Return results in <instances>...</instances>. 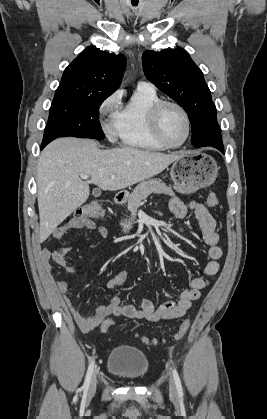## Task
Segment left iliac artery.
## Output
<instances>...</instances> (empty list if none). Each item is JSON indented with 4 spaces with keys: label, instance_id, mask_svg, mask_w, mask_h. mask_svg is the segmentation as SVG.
<instances>
[{
    "label": "left iliac artery",
    "instance_id": "left-iliac-artery-1",
    "mask_svg": "<svg viewBox=\"0 0 267 419\" xmlns=\"http://www.w3.org/2000/svg\"><path fill=\"white\" fill-rule=\"evenodd\" d=\"M172 373H173V378H174V381H175V385H176V388H177L178 395L180 397H182L183 396V389H182V384H181V380H180V377L178 375V372L175 368H173Z\"/></svg>",
    "mask_w": 267,
    "mask_h": 419
}]
</instances>
